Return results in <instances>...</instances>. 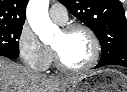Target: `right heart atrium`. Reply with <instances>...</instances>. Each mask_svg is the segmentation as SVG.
Returning a JSON list of instances; mask_svg holds the SVG:
<instances>
[{
    "label": "right heart atrium",
    "instance_id": "1",
    "mask_svg": "<svg viewBox=\"0 0 127 92\" xmlns=\"http://www.w3.org/2000/svg\"><path fill=\"white\" fill-rule=\"evenodd\" d=\"M18 52L23 64L31 69L44 71L52 61V50L45 45L28 24H24L18 36Z\"/></svg>",
    "mask_w": 127,
    "mask_h": 92
}]
</instances>
